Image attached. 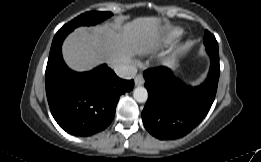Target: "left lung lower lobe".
I'll return each mask as SVG.
<instances>
[{
	"label": "left lung lower lobe",
	"instance_id": "left-lung-lower-lobe-1",
	"mask_svg": "<svg viewBox=\"0 0 261 162\" xmlns=\"http://www.w3.org/2000/svg\"><path fill=\"white\" fill-rule=\"evenodd\" d=\"M206 50L211 67L206 81L198 87L186 86L165 67L145 71L149 96L142 120L154 137L160 140L181 138L200 124L209 112L217 91L220 65L218 47L206 45Z\"/></svg>",
	"mask_w": 261,
	"mask_h": 162
}]
</instances>
